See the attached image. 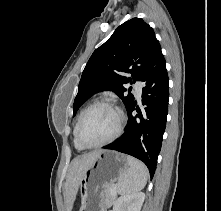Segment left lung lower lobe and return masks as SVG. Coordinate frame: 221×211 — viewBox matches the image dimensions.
<instances>
[{
  "instance_id": "1",
  "label": "left lung lower lobe",
  "mask_w": 221,
  "mask_h": 211,
  "mask_svg": "<svg viewBox=\"0 0 221 211\" xmlns=\"http://www.w3.org/2000/svg\"><path fill=\"white\" fill-rule=\"evenodd\" d=\"M142 104L145 107L132 115L136 102L127 108L125 133L104 149L116 150L143 161L153 177L161 150L168 114L169 86L166 63L161 50L155 55L142 80Z\"/></svg>"
}]
</instances>
